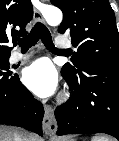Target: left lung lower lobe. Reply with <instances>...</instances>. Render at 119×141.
Instances as JSON below:
<instances>
[{
  "mask_svg": "<svg viewBox=\"0 0 119 141\" xmlns=\"http://www.w3.org/2000/svg\"><path fill=\"white\" fill-rule=\"evenodd\" d=\"M61 73L71 96L56 108L57 135L106 133L119 140V69L96 68L77 77Z\"/></svg>",
  "mask_w": 119,
  "mask_h": 141,
  "instance_id": "0a47b994",
  "label": "left lung lower lobe"
}]
</instances>
